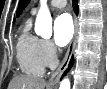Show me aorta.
Masks as SVG:
<instances>
[{
  "instance_id": "obj_1",
  "label": "aorta",
  "mask_w": 107,
  "mask_h": 89,
  "mask_svg": "<svg viewBox=\"0 0 107 89\" xmlns=\"http://www.w3.org/2000/svg\"><path fill=\"white\" fill-rule=\"evenodd\" d=\"M35 32L43 38H50L52 36V17L47 7V1H40V9L38 11ZM71 84L68 78H65L60 83L59 89H70Z\"/></svg>"
}]
</instances>
